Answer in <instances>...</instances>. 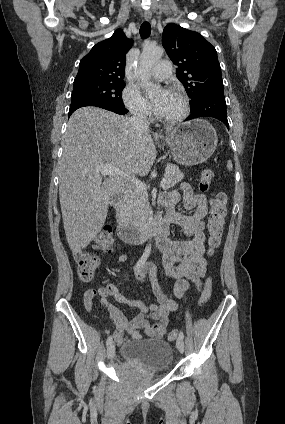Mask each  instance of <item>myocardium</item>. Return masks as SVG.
I'll list each match as a JSON object with an SVG mask.
<instances>
[{"mask_svg":"<svg viewBox=\"0 0 285 424\" xmlns=\"http://www.w3.org/2000/svg\"><path fill=\"white\" fill-rule=\"evenodd\" d=\"M172 93L179 96L183 101V111L181 112V114L176 116V117H173V118H164V117L160 116L159 113L156 114L157 119L159 121H161L162 123H165V124H169V125H175V124L181 123L190 114V101H189L188 96L180 90H174Z\"/></svg>","mask_w":285,"mask_h":424,"instance_id":"1","label":"myocardium"}]
</instances>
